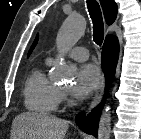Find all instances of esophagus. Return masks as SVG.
<instances>
[{"label":"esophagus","mask_w":141,"mask_h":139,"mask_svg":"<svg viewBox=\"0 0 141 139\" xmlns=\"http://www.w3.org/2000/svg\"><path fill=\"white\" fill-rule=\"evenodd\" d=\"M104 88H105V79L104 76H102L101 82L99 84V87L95 93V96L93 97V100L90 104V107L88 109V112H90L95 106H97L103 96L104 93Z\"/></svg>","instance_id":"esophagus-1"}]
</instances>
